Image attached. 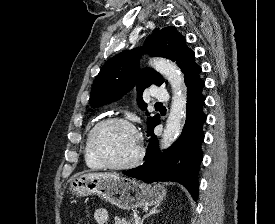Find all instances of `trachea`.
Masks as SVG:
<instances>
[{
    "mask_svg": "<svg viewBox=\"0 0 275 224\" xmlns=\"http://www.w3.org/2000/svg\"><path fill=\"white\" fill-rule=\"evenodd\" d=\"M157 105H162V103H157Z\"/></svg>",
    "mask_w": 275,
    "mask_h": 224,
    "instance_id": "3493384b",
    "label": "trachea"
}]
</instances>
